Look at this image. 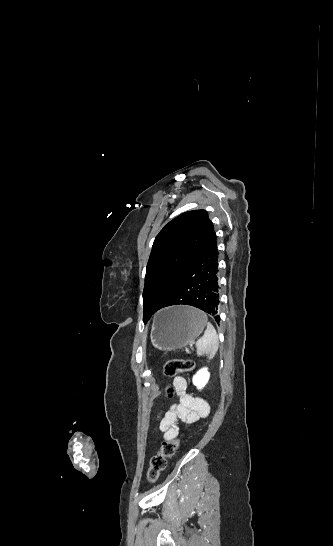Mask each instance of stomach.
I'll use <instances>...</instances> for the list:
<instances>
[{
    "mask_svg": "<svg viewBox=\"0 0 333 546\" xmlns=\"http://www.w3.org/2000/svg\"><path fill=\"white\" fill-rule=\"evenodd\" d=\"M206 325L203 312L196 308L185 305L167 307L154 316L151 341L160 350L182 349L194 342Z\"/></svg>",
    "mask_w": 333,
    "mask_h": 546,
    "instance_id": "0dacf381",
    "label": "stomach"
}]
</instances>
